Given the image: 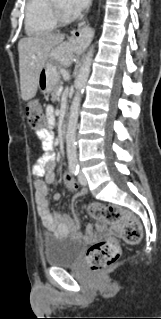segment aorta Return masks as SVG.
<instances>
[{"instance_id": "762f6f07", "label": "aorta", "mask_w": 161, "mask_h": 319, "mask_svg": "<svg viewBox=\"0 0 161 319\" xmlns=\"http://www.w3.org/2000/svg\"><path fill=\"white\" fill-rule=\"evenodd\" d=\"M94 49L93 47L87 52L85 59L83 61V65L80 69V72L74 82L76 88V94L73 98L71 107H70V115L67 125V133H66V151L69 165H77V148H76V131H77V123H78V113L81 101V94L84 91L86 86V82L88 80L90 74V68L92 63Z\"/></svg>"}]
</instances>
